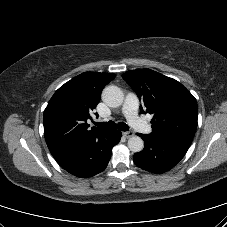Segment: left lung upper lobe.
<instances>
[{
	"instance_id": "5c2ea615",
	"label": "left lung upper lobe",
	"mask_w": 227,
	"mask_h": 227,
	"mask_svg": "<svg viewBox=\"0 0 227 227\" xmlns=\"http://www.w3.org/2000/svg\"><path fill=\"white\" fill-rule=\"evenodd\" d=\"M122 77L142 100L141 112L154 115L151 134L191 144L198 107L180 82L150 69L128 71Z\"/></svg>"
}]
</instances>
